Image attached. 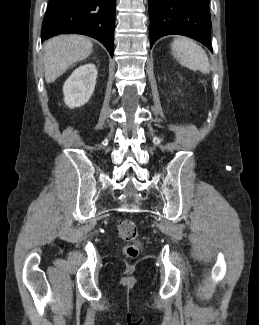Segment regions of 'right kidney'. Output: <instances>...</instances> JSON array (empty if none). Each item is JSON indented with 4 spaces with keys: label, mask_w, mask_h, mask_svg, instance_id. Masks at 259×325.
Wrapping results in <instances>:
<instances>
[{
    "label": "right kidney",
    "mask_w": 259,
    "mask_h": 325,
    "mask_svg": "<svg viewBox=\"0 0 259 325\" xmlns=\"http://www.w3.org/2000/svg\"><path fill=\"white\" fill-rule=\"evenodd\" d=\"M97 70L93 63L75 69L63 86L64 102L69 108L86 104L94 92Z\"/></svg>",
    "instance_id": "obj_1"
}]
</instances>
